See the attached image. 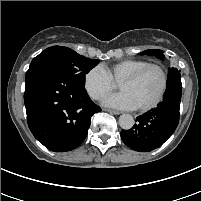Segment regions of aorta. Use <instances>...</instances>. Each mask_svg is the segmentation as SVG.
Masks as SVG:
<instances>
[{
    "label": "aorta",
    "instance_id": "1",
    "mask_svg": "<svg viewBox=\"0 0 201 201\" xmlns=\"http://www.w3.org/2000/svg\"><path fill=\"white\" fill-rule=\"evenodd\" d=\"M119 125L124 130H129L134 125V118L130 114H122L119 117Z\"/></svg>",
    "mask_w": 201,
    "mask_h": 201
}]
</instances>
